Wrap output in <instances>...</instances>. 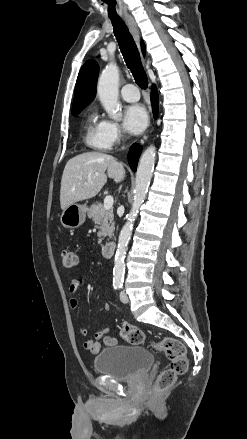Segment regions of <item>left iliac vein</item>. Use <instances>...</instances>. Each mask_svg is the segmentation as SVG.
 <instances>
[{
	"label": "left iliac vein",
	"mask_w": 247,
	"mask_h": 439,
	"mask_svg": "<svg viewBox=\"0 0 247 439\" xmlns=\"http://www.w3.org/2000/svg\"><path fill=\"white\" fill-rule=\"evenodd\" d=\"M120 300L123 303H128V301H129L128 296H127V294H126V292L124 290H122L120 292Z\"/></svg>",
	"instance_id": "1"
}]
</instances>
